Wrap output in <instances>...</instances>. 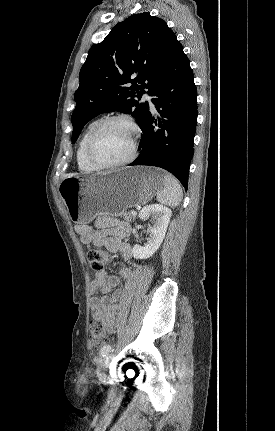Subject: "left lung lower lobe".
Segmentation results:
<instances>
[{"label": "left lung lower lobe", "mask_w": 275, "mask_h": 431, "mask_svg": "<svg viewBox=\"0 0 275 431\" xmlns=\"http://www.w3.org/2000/svg\"><path fill=\"white\" fill-rule=\"evenodd\" d=\"M152 103L160 114L148 111L141 125L140 155L131 163L163 168L188 187L189 166L197 123V88L190 61L180 45L154 87Z\"/></svg>", "instance_id": "left-lung-lower-lobe-1"}]
</instances>
